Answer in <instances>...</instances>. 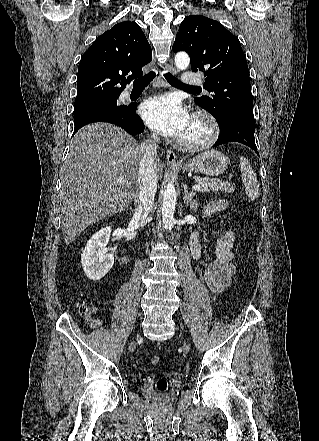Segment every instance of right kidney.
I'll return each mask as SVG.
<instances>
[{"label": "right kidney", "instance_id": "ca27d5eb", "mask_svg": "<svg viewBox=\"0 0 319 441\" xmlns=\"http://www.w3.org/2000/svg\"><path fill=\"white\" fill-rule=\"evenodd\" d=\"M111 231L110 226L101 228L87 241L82 251L81 264L86 276L92 281L102 279L114 264L113 254L106 252Z\"/></svg>", "mask_w": 319, "mask_h": 441}]
</instances>
